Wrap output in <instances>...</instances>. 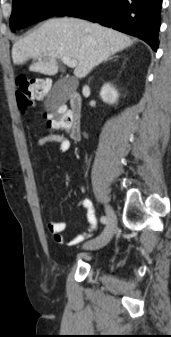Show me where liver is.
<instances>
[{
  "label": "liver",
  "instance_id": "6515ba94",
  "mask_svg": "<svg viewBox=\"0 0 171 337\" xmlns=\"http://www.w3.org/2000/svg\"><path fill=\"white\" fill-rule=\"evenodd\" d=\"M133 44L127 35L77 18H52L12 48L15 65L38 59L29 70L44 75L58 72L57 60L70 57L77 61L76 78H84L102 61Z\"/></svg>",
  "mask_w": 171,
  "mask_h": 337
}]
</instances>
